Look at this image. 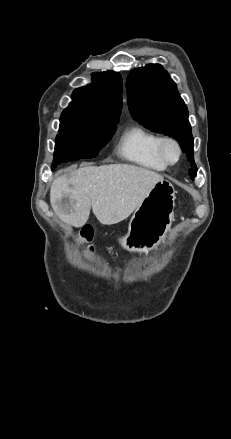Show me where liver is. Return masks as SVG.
I'll return each instance as SVG.
<instances>
[{
  "label": "liver",
  "mask_w": 231,
  "mask_h": 439,
  "mask_svg": "<svg viewBox=\"0 0 231 439\" xmlns=\"http://www.w3.org/2000/svg\"><path fill=\"white\" fill-rule=\"evenodd\" d=\"M163 176L144 167L110 164L71 169L54 180L50 203L59 219L83 226L92 208L103 225L128 218Z\"/></svg>",
  "instance_id": "liver-1"
}]
</instances>
